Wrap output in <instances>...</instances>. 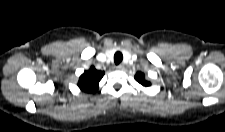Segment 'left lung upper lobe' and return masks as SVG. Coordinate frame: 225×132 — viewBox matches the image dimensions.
<instances>
[{
	"label": "left lung upper lobe",
	"instance_id": "1",
	"mask_svg": "<svg viewBox=\"0 0 225 132\" xmlns=\"http://www.w3.org/2000/svg\"><path fill=\"white\" fill-rule=\"evenodd\" d=\"M135 79L143 86H150V82L145 80V75L142 72H137L135 75Z\"/></svg>",
	"mask_w": 225,
	"mask_h": 132
}]
</instances>
